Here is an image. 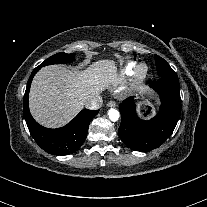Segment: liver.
<instances>
[{
  "label": "liver",
  "instance_id": "1",
  "mask_svg": "<svg viewBox=\"0 0 207 207\" xmlns=\"http://www.w3.org/2000/svg\"><path fill=\"white\" fill-rule=\"evenodd\" d=\"M117 77V66L113 60L97 61L81 72L61 65L43 67L35 75L30 88L31 114L45 127H61Z\"/></svg>",
  "mask_w": 207,
  "mask_h": 207
}]
</instances>
